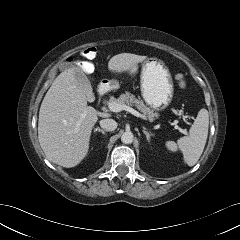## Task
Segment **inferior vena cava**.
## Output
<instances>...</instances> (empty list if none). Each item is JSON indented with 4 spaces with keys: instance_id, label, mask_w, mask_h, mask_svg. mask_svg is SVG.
<instances>
[{
    "instance_id": "602c4592",
    "label": "inferior vena cava",
    "mask_w": 240,
    "mask_h": 240,
    "mask_svg": "<svg viewBox=\"0 0 240 240\" xmlns=\"http://www.w3.org/2000/svg\"><path fill=\"white\" fill-rule=\"evenodd\" d=\"M100 126L106 131H114L117 128V122L113 119H103Z\"/></svg>"
}]
</instances>
